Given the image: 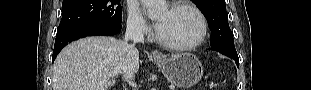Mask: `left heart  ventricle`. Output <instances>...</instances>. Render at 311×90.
<instances>
[{
	"label": "left heart ventricle",
	"instance_id": "1",
	"mask_svg": "<svg viewBox=\"0 0 311 90\" xmlns=\"http://www.w3.org/2000/svg\"><path fill=\"white\" fill-rule=\"evenodd\" d=\"M160 22L159 35L166 41L175 44H187L194 41L201 30V24L192 11L180 8H165L157 15Z\"/></svg>",
	"mask_w": 311,
	"mask_h": 90
}]
</instances>
